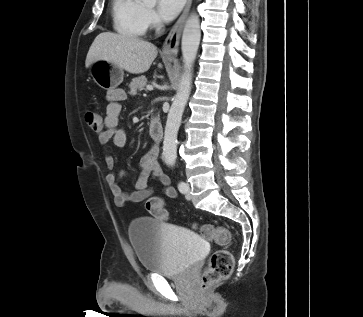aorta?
I'll list each match as a JSON object with an SVG mask.
<instances>
[{"label": "aorta", "mask_w": 363, "mask_h": 317, "mask_svg": "<svg viewBox=\"0 0 363 317\" xmlns=\"http://www.w3.org/2000/svg\"><path fill=\"white\" fill-rule=\"evenodd\" d=\"M143 1L151 4L156 2V0ZM200 39V19L199 16L193 12L186 20L182 34L181 50L184 73L179 84V89L173 98L165 126L163 156L166 163L171 166L175 164L177 157V134L191 91L193 64L198 52Z\"/></svg>", "instance_id": "1"}]
</instances>
